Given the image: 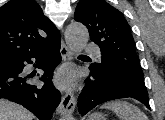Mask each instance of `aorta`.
<instances>
[{
    "label": "aorta",
    "instance_id": "762f6f07",
    "mask_svg": "<svg viewBox=\"0 0 165 120\" xmlns=\"http://www.w3.org/2000/svg\"><path fill=\"white\" fill-rule=\"evenodd\" d=\"M65 37L68 46L78 52L87 45L89 33L82 23L71 22L66 28ZM67 120H73V117H68Z\"/></svg>",
    "mask_w": 165,
    "mask_h": 120
}]
</instances>
